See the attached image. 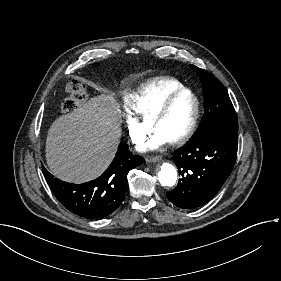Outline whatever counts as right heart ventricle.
Segmentation results:
<instances>
[{
  "mask_svg": "<svg viewBox=\"0 0 281 281\" xmlns=\"http://www.w3.org/2000/svg\"><path fill=\"white\" fill-rule=\"evenodd\" d=\"M184 88L186 86L181 81L164 78L150 87L128 94L126 102L137 116L138 122L145 127L144 123L157 107L170 95Z\"/></svg>",
  "mask_w": 281,
  "mask_h": 281,
  "instance_id": "right-heart-ventricle-1",
  "label": "right heart ventricle"
}]
</instances>
